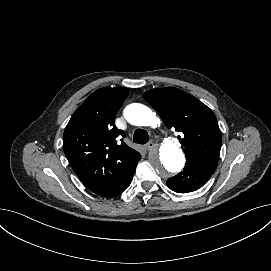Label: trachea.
Returning a JSON list of instances; mask_svg holds the SVG:
<instances>
[{
    "instance_id": "obj_1",
    "label": "trachea",
    "mask_w": 271,
    "mask_h": 271,
    "mask_svg": "<svg viewBox=\"0 0 271 271\" xmlns=\"http://www.w3.org/2000/svg\"><path fill=\"white\" fill-rule=\"evenodd\" d=\"M149 141V135L146 130L136 129L133 135V142L137 144H145Z\"/></svg>"
}]
</instances>
